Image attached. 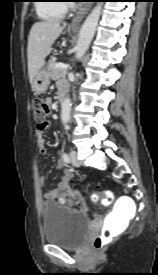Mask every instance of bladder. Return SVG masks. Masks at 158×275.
I'll return each instance as SVG.
<instances>
[{
    "label": "bladder",
    "instance_id": "31cf9c89",
    "mask_svg": "<svg viewBox=\"0 0 158 275\" xmlns=\"http://www.w3.org/2000/svg\"><path fill=\"white\" fill-rule=\"evenodd\" d=\"M44 240L65 249L79 248L89 234L90 217L56 203L42 209Z\"/></svg>",
    "mask_w": 158,
    "mask_h": 275
}]
</instances>
